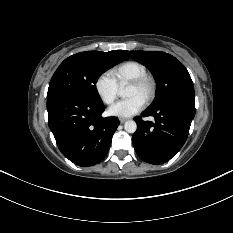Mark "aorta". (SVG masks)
<instances>
[{"instance_id":"aorta-1","label":"aorta","mask_w":233,"mask_h":233,"mask_svg":"<svg viewBox=\"0 0 233 233\" xmlns=\"http://www.w3.org/2000/svg\"><path fill=\"white\" fill-rule=\"evenodd\" d=\"M120 96L122 97H125L126 96V93L125 91L122 89L120 90V93H119ZM124 129L126 132L128 133H134L136 130H137V124L135 121L133 120H128L125 122L124 124Z\"/></svg>"}]
</instances>
